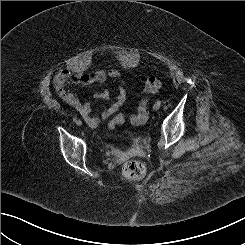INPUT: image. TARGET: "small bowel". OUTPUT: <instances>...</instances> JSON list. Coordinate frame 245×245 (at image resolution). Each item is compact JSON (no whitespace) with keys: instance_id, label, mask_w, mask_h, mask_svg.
I'll use <instances>...</instances> for the list:
<instances>
[{"instance_id":"c3829d8e","label":"small bowel","mask_w":245,"mask_h":245,"mask_svg":"<svg viewBox=\"0 0 245 245\" xmlns=\"http://www.w3.org/2000/svg\"><path fill=\"white\" fill-rule=\"evenodd\" d=\"M121 72L117 69H99L95 72H77L73 73L70 69H61L54 77L53 85L57 95L69 106L74 108L82 115L88 126L96 128L101 123L115 115L127 98L125 83L121 80ZM107 80L120 82L117 86V93L114 101L104 108L99 114L91 115V104L86 100H81L72 90L70 84L90 85L93 83H104ZM96 99L106 100L110 97L107 89H101L94 92Z\"/></svg>"}]
</instances>
